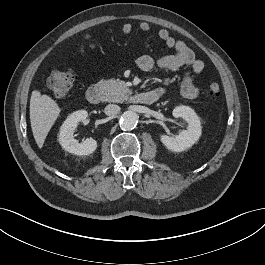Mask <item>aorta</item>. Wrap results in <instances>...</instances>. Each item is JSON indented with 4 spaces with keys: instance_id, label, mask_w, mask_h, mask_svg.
<instances>
[{
    "instance_id": "762f6f07",
    "label": "aorta",
    "mask_w": 265,
    "mask_h": 265,
    "mask_svg": "<svg viewBox=\"0 0 265 265\" xmlns=\"http://www.w3.org/2000/svg\"><path fill=\"white\" fill-rule=\"evenodd\" d=\"M138 123V115L133 111H125L120 119V125L125 130H132Z\"/></svg>"
}]
</instances>
